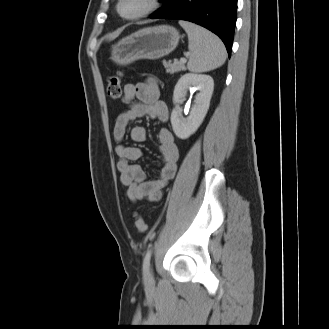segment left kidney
Here are the masks:
<instances>
[{
    "label": "left kidney",
    "mask_w": 329,
    "mask_h": 329,
    "mask_svg": "<svg viewBox=\"0 0 329 329\" xmlns=\"http://www.w3.org/2000/svg\"><path fill=\"white\" fill-rule=\"evenodd\" d=\"M197 90L195 105L190 115L184 118L177 108L171 113V124L175 135L180 139H187L202 124L209 109L210 100L214 89V81L211 76L204 74H184L177 82L173 92V103L177 104L187 94V90Z\"/></svg>",
    "instance_id": "5707ae66"
}]
</instances>
